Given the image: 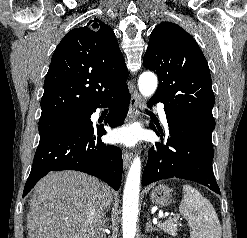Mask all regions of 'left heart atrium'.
I'll use <instances>...</instances> for the list:
<instances>
[{"label":"left heart atrium","instance_id":"obj_1","mask_svg":"<svg viewBox=\"0 0 247 238\" xmlns=\"http://www.w3.org/2000/svg\"><path fill=\"white\" fill-rule=\"evenodd\" d=\"M137 139L138 131L132 126L121 127L111 133V140L116 143L133 145Z\"/></svg>","mask_w":247,"mask_h":238}]
</instances>
